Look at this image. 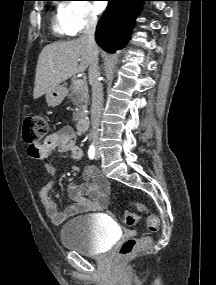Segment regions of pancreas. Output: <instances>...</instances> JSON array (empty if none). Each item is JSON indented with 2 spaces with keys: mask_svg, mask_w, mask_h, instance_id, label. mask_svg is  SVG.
Wrapping results in <instances>:
<instances>
[{
  "mask_svg": "<svg viewBox=\"0 0 216 285\" xmlns=\"http://www.w3.org/2000/svg\"><path fill=\"white\" fill-rule=\"evenodd\" d=\"M68 98L76 106V112L74 113L73 119L76 121L86 116L87 103L89 100L86 81H84L83 85L80 87H77L75 81H73L69 88Z\"/></svg>",
  "mask_w": 216,
  "mask_h": 285,
  "instance_id": "1",
  "label": "pancreas"
}]
</instances>
